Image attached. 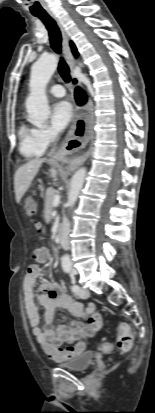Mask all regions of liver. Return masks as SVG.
<instances>
[{
	"label": "liver",
	"instance_id": "1",
	"mask_svg": "<svg viewBox=\"0 0 155 413\" xmlns=\"http://www.w3.org/2000/svg\"><path fill=\"white\" fill-rule=\"evenodd\" d=\"M45 159L35 158L20 166L14 175V189L16 202L19 203L25 192L30 187L33 179L39 172Z\"/></svg>",
	"mask_w": 155,
	"mask_h": 413
}]
</instances>
